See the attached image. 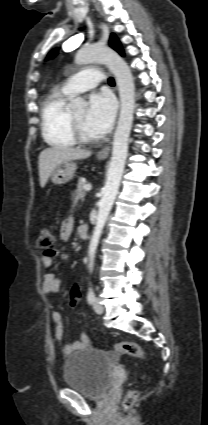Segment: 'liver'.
<instances>
[{"instance_id":"liver-1","label":"liver","mask_w":208,"mask_h":425,"mask_svg":"<svg viewBox=\"0 0 208 425\" xmlns=\"http://www.w3.org/2000/svg\"><path fill=\"white\" fill-rule=\"evenodd\" d=\"M90 155L91 151L72 147L54 146L44 149L39 155L38 163L41 187L43 188L46 185L51 173L59 164L72 160L86 159Z\"/></svg>"}]
</instances>
